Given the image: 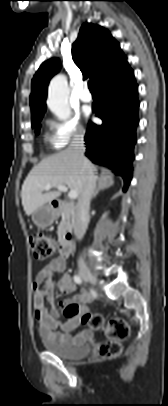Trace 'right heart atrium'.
<instances>
[{"label": "right heart atrium", "instance_id": "d8ad5b80", "mask_svg": "<svg viewBox=\"0 0 168 406\" xmlns=\"http://www.w3.org/2000/svg\"><path fill=\"white\" fill-rule=\"evenodd\" d=\"M52 140L55 147L62 148L69 143L85 136V129L78 116H70L64 120H50Z\"/></svg>", "mask_w": 168, "mask_h": 406}]
</instances>
